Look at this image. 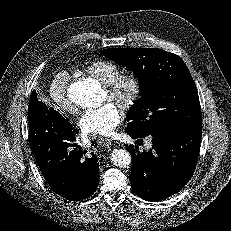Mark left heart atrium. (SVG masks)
<instances>
[{
    "label": "left heart atrium",
    "mask_w": 231,
    "mask_h": 231,
    "mask_svg": "<svg viewBox=\"0 0 231 231\" xmlns=\"http://www.w3.org/2000/svg\"><path fill=\"white\" fill-rule=\"evenodd\" d=\"M122 119L120 108L112 102L87 111L79 120L81 130L86 134L110 135Z\"/></svg>",
    "instance_id": "39dd6f15"
}]
</instances>
